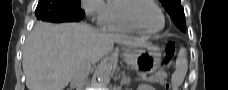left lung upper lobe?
<instances>
[{"label":"left lung upper lobe","mask_w":228,"mask_h":90,"mask_svg":"<svg viewBox=\"0 0 228 90\" xmlns=\"http://www.w3.org/2000/svg\"><path fill=\"white\" fill-rule=\"evenodd\" d=\"M165 9L170 14L175 25L185 31V16L183 7L180 5V0H160Z\"/></svg>","instance_id":"1"}]
</instances>
